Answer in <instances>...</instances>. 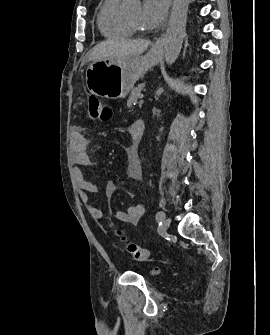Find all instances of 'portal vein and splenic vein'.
I'll return each instance as SVG.
<instances>
[{
	"label": "portal vein and splenic vein",
	"instance_id": "obj_1",
	"mask_svg": "<svg viewBox=\"0 0 270 335\" xmlns=\"http://www.w3.org/2000/svg\"><path fill=\"white\" fill-rule=\"evenodd\" d=\"M141 98H142V96H141ZM141 103H145V99L138 101V104H141Z\"/></svg>",
	"mask_w": 270,
	"mask_h": 335
}]
</instances>
